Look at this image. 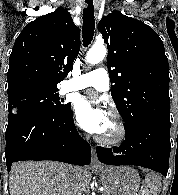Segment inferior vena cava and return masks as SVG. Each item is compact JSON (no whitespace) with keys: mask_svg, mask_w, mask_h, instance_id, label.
Returning a JSON list of instances; mask_svg holds the SVG:
<instances>
[{"mask_svg":"<svg viewBox=\"0 0 178 195\" xmlns=\"http://www.w3.org/2000/svg\"><path fill=\"white\" fill-rule=\"evenodd\" d=\"M72 174H73V177H74V178L79 177V170H78V168H77V167H76V168H74V170H73Z\"/></svg>","mask_w":178,"mask_h":195,"instance_id":"obj_1","label":"inferior vena cava"}]
</instances>
